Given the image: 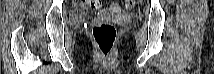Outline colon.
<instances>
[{
	"mask_svg": "<svg viewBox=\"0 0 214 74\" xmlns=\"http://www.w3.org/2000/svg\"><path fill=\"white\" fill-rule=\"evenodd\" d=\"M123 3L126 8L131 9L136 2L134 0H125ZM88 5L90 8L98 10L102 8V1H88ZM92 34L100 54L104 57L111 55L117 40L115 26L106 22H97L92 29Z\"/></svg>",
	"mask_w": 214,
	"mask_h": 74,
	"instance_id": "obj_1",
	"label": "colon"
}]
</instances>
